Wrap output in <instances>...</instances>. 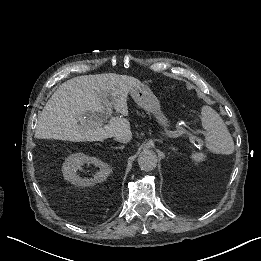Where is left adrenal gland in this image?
I'll use <instances>...</instances> for the list:
<instances>
[{
	"label": "left adrenal gland",
	"mask_w": 261,
	"mask_h": 261,
	"mask_svg": "<svg viewBox=\"0 0 261 261\" xmlns=\"http://www.w3.org/2000/svg\"><path fill=\"white\" fill-rule=\"evenodd\" d=\"M170 149H172V150H175V148L173 147V146H171V147H169Z\"/></svg>",
	"instance_id": "a2214340"
}]
</instances>
